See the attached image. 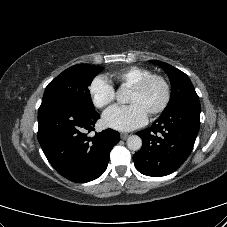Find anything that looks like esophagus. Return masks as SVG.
<instances>
[{"label": "esophagus", "instance_id": "esophagus-1", "mask_svg": "<svg viewBox=\"0 0 227 227\" xmlns=\"http://www.w3.org/2000/svg\"><path fill=\"white\" fill-rule=\"evenodd\" d=\"M120 136H121L122 140H126L129 137V135L127 133H121Z\"/></svg>", "mask_w": 227, "mask_h": 227}]
</instances>
